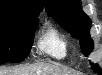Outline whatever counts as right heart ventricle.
Instances as JSON below:
<instances>
[{
	"label": "right heart ventricle",
	"mask_w": 102,
	"mask_h": 75,
	"mask_svg": "<svg viewBox=\"0 0 102 75\" xmlns=\"http://www.w3.org/2000/svg\"><path fill=\"white\" fill-rule=\"evenodd\" d=\"M38 49L40 54L61 59L67 55L68 43L56 31L50 30L40 40Z\"/></svg>",
	"instance_id": "e07e8e85"
}]
</instances>
